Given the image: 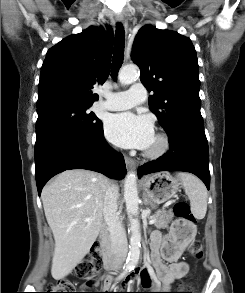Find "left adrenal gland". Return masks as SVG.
<instances>
[{
	"instance_id": "a2214340",
	"label": "left adrenal gland",
	"mask_w": 245,
	"mask_h": 293,
	"mask_svg": "<svg viewBox=\"0 0 245 293\" xmlns=\"http://www.w3.org/2000/svg\"><path fill=\"white\" fill-rule=\"evenodd\" d=\"M144 204L145 205H149V204L152 205L151 202L147 199L146 195H144Z\"/></svg>"
}]
</instances>
